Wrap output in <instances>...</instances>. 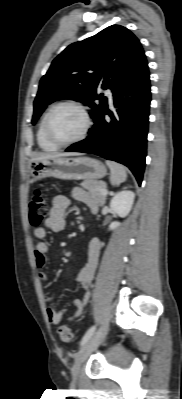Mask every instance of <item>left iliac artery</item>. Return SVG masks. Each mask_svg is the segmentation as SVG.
Segmentation results:
<instances>
[{"mask_svg": "<svg viewBox=\"0 0 182 399\" xmlns=\"http://www.w3.org/2000/svg\"><path fill=\"white\" fill-rule=\"evenodd\" d=\"M94 331H95V326H92V327L85 333V335L83 336V338H82V340H81V342H80V345H81V346H83V345L91 338V336L93 335Z\"/></svg>", "mask_w": 182, "mask_h": 399, "instance_id": "1", "label": "left iliac artery"}]
</instances>
